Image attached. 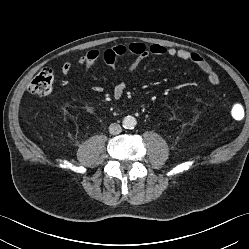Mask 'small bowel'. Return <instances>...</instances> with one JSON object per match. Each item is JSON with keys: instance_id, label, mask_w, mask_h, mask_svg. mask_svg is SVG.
I'll return each instance as SVG.
<instances>
[{"instance_id": "c3829d8e", "label": "small bowel", "mask_w": 249, "mask_h": 249, "mask_svg": "<svg viewBox=\"0 0 249 249\" xmlns=\"http://www.w3.org/2000/svg\"><path fill=\"white\" fill-rule=\"evenodd\" d=\"M125 55H132L135 57V60L127 69V74H132L137 65L145 58L149 56H168L174 59H180L184 61H190L196 64L207 76L209 82L212 85L219 84V77L215 73L211 64L200 54L191 52L185 49H178L175 47H165L160 44H153L150 47H146L143 43L133 42L127 45H113L109 46L103 51L98 49H91L86 54L81 56L78 59V63L84 67L85 74L93 67L99 58H102L105 64L112 72H116V62L117 60ZM73 65L70 61H65L61 65V72L64 75H69L72 71ZM126 82L119 80L114 85L111 96L114 100L120 99L125 90ZM92 89L95 92H102L103 87L100 85H94Z\"/></svg>"}]
</instances>
